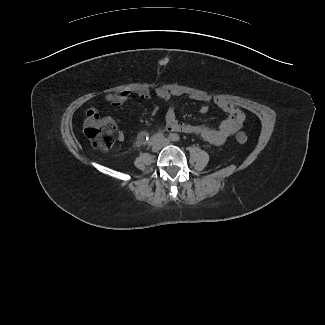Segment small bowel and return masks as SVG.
I'll return each mask as SVG.
<instances>
[{
    "instance_id": "c3829d8e",
    "label": "small bowel",
    "mask_w": 325,
    "mask_h": 325,
    "mask_svg": "<svg viewBox=\"0 0 325 325\" xmlns=\"http://www.w3.org/2000/svg\"><path fill=\"white\" fill-rule=\"evenodd\" d=\"M134 94L143 100H149L153 96H156L164 101H169L174 97H187L203 103V105L200 107L201 113H207L210 109L208 103L210 102L211 98L208 95L200 93H186L180 90L154 88L139 89L136 90ZM128 96V92L118 91L106 94L104 96V99L116 105H121L128 99ZM214 102L218 108L227 114V118L220 123L218 128H210L205 125H196L181 122L177 119L174 108L170 106L167 108L164 117L166 130L169 132L196 134L212 145H223L236 131L241 128L244 122V114L234 104L228 102L225 99L216 98ZM91 111L99 113L97 108H91L88 112ZM118 138L122 140L124 138V134L120 132L118 134Z\"/></svg>"
}]
</instances>
